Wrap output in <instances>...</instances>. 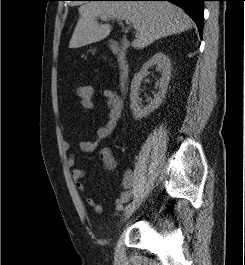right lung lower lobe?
Wrapping results in <instances>:
<instances>
[{
	"instance_id": "98d812e1",
	"label": "right lung lower lobe",
	"mask_w": 245,
	"mask_h": 265,
	"mask_svg": "<svg viewBox=\"0 0 245 265\" xmlns=\"http://www.w3.org/2000/svg\"><path fill=\"white\" fill-rule=\"evenodd\" d=\"M91 1V0H88ZM119 1H169L187 11L188 15L196 23L199 33L202 36L203 28V1L205 0H119Z\"/></svg>"
}]
</instances>
